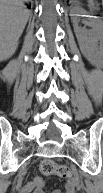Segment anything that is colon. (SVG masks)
I'll use <instances>...</instances> for the list:
<instances>
[{"label":"colon","mask_w":103,"mask_h":193,"mask_svg":"<svg viewBox=\"0 0 103 193\" xmlns=\"http://www.w3.org/2000/svg\"><path fill=\"white\" fill-rule=\"evenodd\" d=\"M39 168L47 176L55 175L67 180L72 178V170L68 166L58 164L52 159L43 160Z\"/></svg>","instance_id":"1"}]
</instances>
